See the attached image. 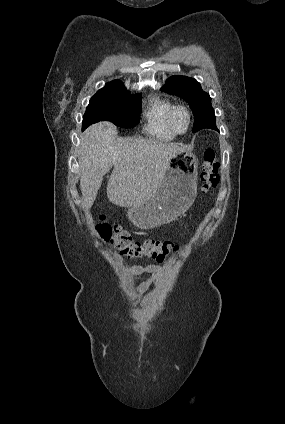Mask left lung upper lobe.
Here are the masks:
<instances>
[{"label":"left lung upper lobe","mask_w":285,"mask_h":424,"mask_svg":"<svg viewBox=\"0 0 285 424\" xmlns=\"http://www.w3.org/2000/svg\"><path fill=\"white\" fill-rule=\"evenodd\" d=\"M162 90L183 98L189 104L195 118L193 132L204 128L217 130L211 98L194 78L171 76Z\"/></svg>","instance_id":"1"}]
</instances>
